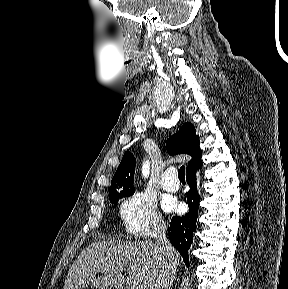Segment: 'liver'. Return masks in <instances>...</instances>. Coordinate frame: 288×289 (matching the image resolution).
I'll return each mask as SVG.
<instances>
[{
    "label": "liver",
    "mask_w": 288,
    "mask_h": 289,
    "mask_svg": "<svg viewBox=\"0 0 288 289\" xmlns=\"http://www.w3.org/2000/svg\"><path fill=\"white\" fill-rule=\"evenodd\" d=\"M174 261L179 254L174 249ZM163 262L151 242L97 241L85 248L69 269L63 289H164ZM127 271L126 279L121 272ZM101 273L103 276L96 277Z\"/></svg>",
    "instance_id": "1"
}]
</instances>
